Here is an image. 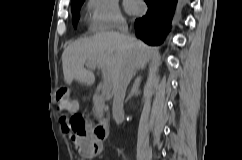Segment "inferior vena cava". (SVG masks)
<instances>
[{"label":"inferior vena cava","mask_w":242,"mask_h":160,"mask_svg":"<svg viewBox=\"0 0 242 160\" xmlns=\"http://www.w3.org/2000/svg\"><path fill=\"white\" fill-rule=\"evenodd\" d=\"M118 30L121 34L128 38V27L126 24H119ZM125 72H122L121 76H119L118 81L114 85L113 88V106H112V114L115 122L120 124L124 118V110L123 103L125 98V93L127 86L132 77L131 73H139V68H125Z\"/></svg>","instance_id":"obj_1"}]
</instances>
